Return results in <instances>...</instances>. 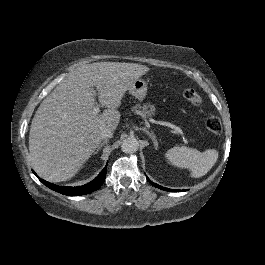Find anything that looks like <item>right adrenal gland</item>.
Masks as SVG:
<instances>
[{"label": "right adrenal gland", "mask_w": 265, "mask_h": 265, "mask_svg": "<svg viewBox=\"0 0 265 265\" xmlns=\"http://www.w3.org/2000/svg\"><path fill=\"white\" fill-rule=\"evenodd\" d=\"M108 142H109V138H106L104 141H102L101 144L94 151V154H96L98 151H100V149Z\"/></svg>", "instance_id": "obj_1"}]
</instances>
